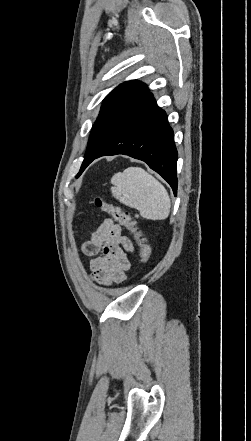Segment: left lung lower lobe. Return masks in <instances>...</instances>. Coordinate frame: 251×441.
Returning <instances> with one entry per match:
<instances>
[{
    "instance_id": "left-lung-lower-lobe-1",
    "label": "left lung lower lobe",
    "mask_w": 251,
    "mask_h": 441,
    "mask_svg": "<svg viewBox=\"0 0 251 441\" xmlns=\"http://www.w3.org/2000/svg\"><path fill=\"white\" fill-rule=\"evenodd\" d=\"M124 154L142 160L177 193V150L166 113L151 93L125 115L102 117L93 125L81 172L96 158Z\"/></svg>"
}]
</instances>
